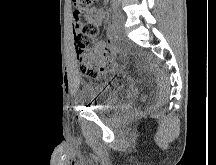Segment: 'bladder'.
I'll return each instance as SVG.
<instances>
[{
  "label": "bladder",
  "instance_id": "bladder-1",
  "mask_svg": "<svg viewBox=\"0 0 216 165\" xmlns=\"http://www.w3.org/2000/svg\"><path fill=\"white\" fill-rule=\"evenodd\" d=\"M122 76H95V81H87L86 100L91 101L94 111H109L115 97H121Z\"/></svg>",
  "mask_w": 216,
  "mask_h": 165
}]
</instances>
